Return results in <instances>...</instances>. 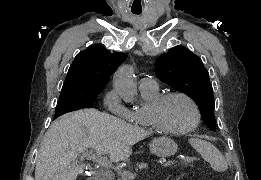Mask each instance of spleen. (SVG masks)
<instances>
[{
	"label": "spleen",
	"mask_w": 261,
	"mask_h": 180,
	"mask_svg": "<svg viewBox=\"0 0 261 180\" xmlns=\"http://www.w3.org/2000/svg\"><path fill=\"white\" fill-rule=\"evenodd\" d=\"M192 148L201 154L203 160L209 162L212 170L215 172H225L228 168V164L221 152L210 144V142H206V140H198V138H191L189 140Z\"/></svg>",
	"instance_id": "obj_1"
}]
</instances>
